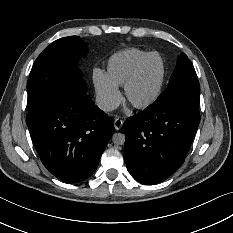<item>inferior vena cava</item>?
Segmentation results:
<instances>
[{"instance_id":"1","label":"inferior vena cava","mask_w":233,"mask_h":233,"mask_svg":"<svg viewBox=\"0 0 233 233\" xmlns=\"http://www.w3.org/2000/svg\"><path fill=\"white\" fill-rule=\"evenodd\" d=\"M96 104L99 109L105 112H111L118 107V103L116 101H112L108 98H97Z\"/></svg>"}]
</instances>
